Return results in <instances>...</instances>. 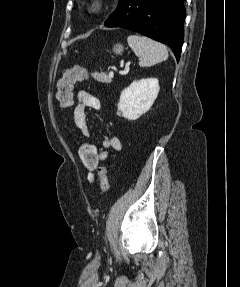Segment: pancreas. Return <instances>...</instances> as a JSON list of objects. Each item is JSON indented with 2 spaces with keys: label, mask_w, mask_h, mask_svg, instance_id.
Segmentation results:
<instances>
[{
  "label": "pancreas",
  "mask_w": 240,
  "mask_h": 287,
  "mask_svg": "<svg viewBox=\"0 0 240 287\" xmlns=\"http://www.w3.org/2000/svg\"><path fill=\"white\" fill-rule=\"evenodd\" d=\"M93 77L96 81L102 82V83H110L111 78H109L106 73H94Z\"/></svg>",
  "instance_id": "cf45deb5"
}]
</instances>
